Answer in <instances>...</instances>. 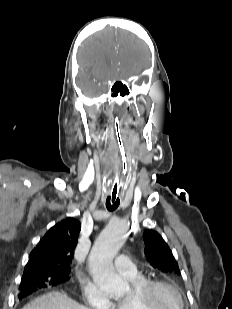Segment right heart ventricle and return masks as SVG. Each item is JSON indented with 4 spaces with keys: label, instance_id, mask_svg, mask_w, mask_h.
<instances>
[{
    "label": "right heart ventricle",
    "instance_id": "1",
    "mask_svg": "<svg viewBox=\"0 0 232 309\" xmlns=\"http://www.w3.org/2000/svg\"><path fill=\"white\" fill-rule=\"evenodd\" d=\"M127 279L130 281L133 291L128 297L113 303L112 309H141L133 297V292L138 289L147 278L141 274H138L134 277H127Z\"/></svg>",
    "mask_w": 232,
    "mask_h": 309
}]
</instances>
